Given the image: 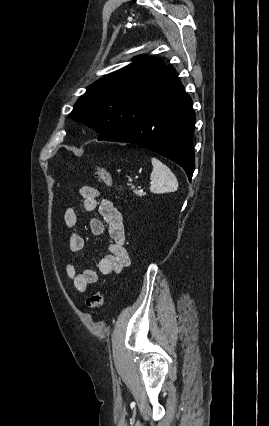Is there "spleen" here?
Listing matches in <instances>:
<instances>
[{"label": "spleen", "mask_w": 269, "mask_h": 426, "mask_svg": "<svg viewBox=\"0 0 269 426\" xmlns=\"http://www.w3.org/2000/svg\"><path fill=\"white\" fill-rule=\"evenodd\" d=\"M153 170L150 175V191L155 194L175 192L178 189V181L172 171L160 160L151 159Z\"/></svg>", "instance_id": "3e777b00"}]
</instances>
